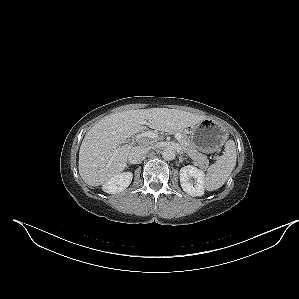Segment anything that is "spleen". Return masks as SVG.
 <instances>
[{"label": "spleen", "mask_w": 299, "mask_h": 299, "mask_svg": "<svg viewBox=\"0 0 299 299\" xmlns=\"http://www.w3.org/2000/svg\"><path fill=\"white\" fill-rule=\"evenodd\" d=\"M225 152L207 169L205 188L207 191L217 190L224 185L236 165V146L233 140L225 144Z\"/></svg>", "instance_id": "spleen-1"}]
</instances>
